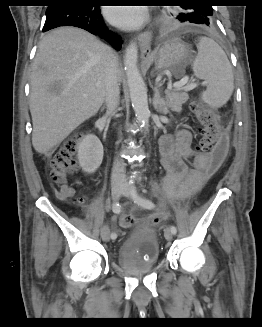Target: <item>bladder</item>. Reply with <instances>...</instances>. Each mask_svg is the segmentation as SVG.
I'll use <instances>...</instances> for the list:
<instances>
[{
  "mask_svg": "<svg viewBox=\"0 0 262 327\" xmlns=\"http://www.w3.org/2000/svg\"><path fill=\"white\" fill-rule=\"evenodd\" d=\"M147 257L153 265L160 260V245L157 233L142 229L131 233L120 245L118 256L121 260H132L135 256Z\"/></svg>",
  "mask_w": 262,
  "mask_h": 327,
  "instance_id": "31cf9c89",
  "label": "bladder"
}]
</instances>
